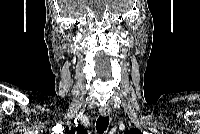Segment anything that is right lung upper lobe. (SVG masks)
I'll use <instances>...</instances> for the list:
<instances>
[{"label": "right lung upper lobe", "instance_id": "1", "mask_svg": "<svg viewBox=\"0 0 200 134\" xmlns=\"http://www.w3.org/2000/svg\"><path fill=\"white\" fill-rule=\"evenodd\" d=\"M76 130H77V133H79V134H85L86 133V131L82 127L76 128ZM72 133H73L72 131L69 132V134H72Z\"/></svg>", "mask_w": 200, "mask_h": 134}]
</instances>
